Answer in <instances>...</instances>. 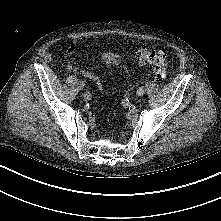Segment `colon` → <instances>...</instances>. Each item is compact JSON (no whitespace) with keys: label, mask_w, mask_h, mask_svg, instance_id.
Returning a JSON list of instances; mask_svg holds the SVG:
<instances>
[{"label":"colon","mask_w":221,"mask_h":221,"mask_svg":"<svg viewBox=\"0 0 221 221\" xmlns=\"http://www.w3.org/2000/svg\"><path fill=\"white\" fill-rule=\"evenodd\" d=\"M138 58L141 64L148 66L153 71L155 79L161 80L166 76L168 61L163 50L143 48L138 52ZM84 74L99 90L102 89L99 78L93 71L86 70Z\"/></svg>","instance_id":"1"}]
</instances>
